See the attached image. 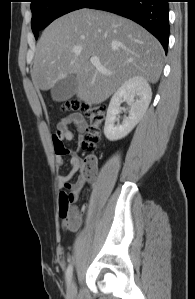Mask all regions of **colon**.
I'll use <instances>...</instances> for the list:
<instances>
[{"label":"colon","instance_id":"5ec220e1","mask_svg":"<svg viewBox=\"0 0 195 299\" xmlns=\"http://www.w3.org/2000/svg\"><path fill=\"white\" fill-rule=\"evenodd\" d=\"M63 110H73L82 112L90 122L89 128L86 130L81 147L85 150H92L100 139V127L105 119L107 108L104 104L84 103L78 100L68 101L62 107ZM90 160L86 159L83 164V178L91 180L94 176L93 169L90 165ZM73 185L69 184V191L63 192L60 196V216L75 217L78 213L75 205V196L71 192ZM76 189L81 186L75 185Z\"/></svg>","mask_w":195,"mask_h":299}]
</instances>
